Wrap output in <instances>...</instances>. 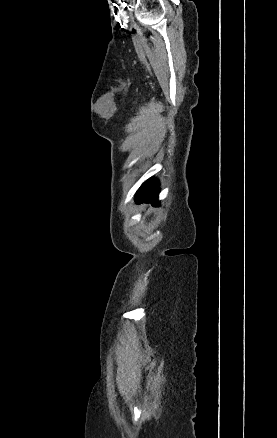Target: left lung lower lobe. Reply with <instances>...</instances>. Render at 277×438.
<instances>
[{
    "mask_svg": "<svg viewBox=\"0 0 277 438\" xmlns=\"http://www.w3.org/2000/svg\"><path fill=\"white\" fill-rule=\"evenodd\" d=\"M158 183L155 179H149L145 183L142 184L140 189L136 193V202H147L152 203L153 205H158V193H159V187Z\"/></svg>",
    "mask_w": 277,
    "mask_h": 438,
    "instance_id": "obj_1",
    "label": "left lung lower lobe"
}]
</instances>
